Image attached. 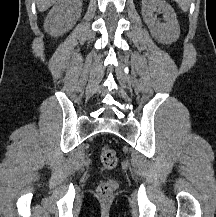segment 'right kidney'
Instances as JSON below:
<instances>
[{
    "instance_id": "ca27d5eb",
    "label": "right kidney",
    "mask_w": 216,
    "mask_h": 217,
    "mask_svg": "<svg viewBox=\"0 0 216 217\" xmlns=\"http://www.w3.org/2000/svg\"><path fill=\"white\" fill-rule=\"evenodd\" d=\"M82 0H59L48 13L44 28L51 36L66 33L81 16Z\"/></svg>"
}]
</instances>
